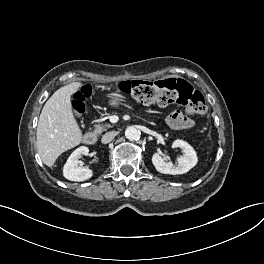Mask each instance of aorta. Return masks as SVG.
Masks as SVG:
<instances>
[{
  "instance_id": "aorta-1",
  "label": "aorta",
  "mask_w": 264,
  "mask_h": 264,
  "mask_svg": "<svg viewBox=\"0 0 264 264\" xmlns=\"http://www.w3.org/2000/svg\"><path fill=\"white\" fill-rule=\"evenodd\" d=\"M125 136L130 141L138 140L140 138V132L135 127L130 126L126 128Z\"/></svg>"
}]
</instances>
